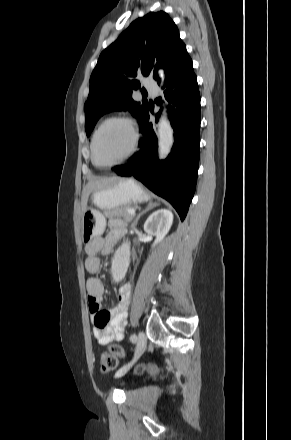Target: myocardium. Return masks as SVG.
Wrapping results in <instances>:
<instances>
[{"mask_svg":"<svg viewBox=\"0 0 291 440\" xmlns=\"http://www.w3.org/2000/svg\"><path fill=\"white\" fill-rule=\"evenodd\" d=\"M113 122H120L126 125V127L129 129L131 136H132V140H131V146L129 151L127 152V154L120 159L119 161L116 162H112V163H106V164H100L96 161L95 158V145H96V139L97 136L99 134V132L102 130L103 127H105L106 125L113 123ZM138 142H139V134L138 131L135 127L134 122L127 116L124 115H113L110 116L106 119H104L96 128V130L93 133L92 136V141H91V160L92 163L100 168H113L116 166H119L123 163H125L127 160H129L133 154L136 152L137 150V146H138Z\"/></svg>","mask_w":291,"mask_h":440,"instance_id":"f54148a6","label":"myocardium"}]
</instances>
